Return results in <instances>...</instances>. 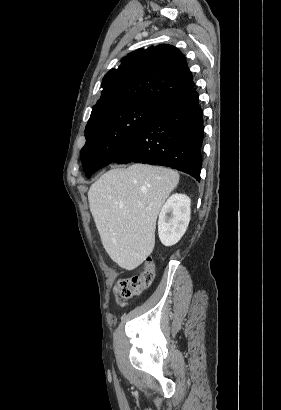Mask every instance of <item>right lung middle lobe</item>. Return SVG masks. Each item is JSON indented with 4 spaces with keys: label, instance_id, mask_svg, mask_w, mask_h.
Returning a JSON list of instances; mask_svg holds the SVG:
<instances>
[{
    "label": "right lung middle lobe",
    "instance_id": "right-lung-middle-lobe-1",
    "mask_svg": "<svg viewBox=\"0 0 281 410\" xmlns=\"http://www.w3.org/2000/svg\"><path fill=\"white\" fill-rule=\"evenodd\" d=\"M158 111L159 107L140 103L108 107L91 115L81 150L86 176L120 156Z\"/></svg>",
    "mask_w": 281,
    "mask_h": 410
}]
</instances>
